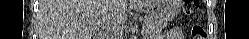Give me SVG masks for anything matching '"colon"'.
I'll use <instances>...</instances> for the list:
<instances>
[{
  "mask_svg": "<svg viewBox=\"0 0 249 39\" xmlns=\"http://www.w3.org/2000/svg\"><path fill=\"white\" fill-rule=\"evenodd\" d=\"M199 7L198 0H185L183 3V11L184 13L190 15L197 11ZM193 36L195 38H202L204 36V30L202 27L196 25L193 27Z\"/></svg>",
  "mask_w": 249,
  "mask_h": 39,
  "instance_id": "5ec220e1",
  "label": "colon"
}]
</instances>
